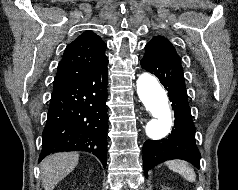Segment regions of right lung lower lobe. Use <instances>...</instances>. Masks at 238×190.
Returning <instances> with one entry per match:
<instances>
[{"mask_svg": "<svg viewBox=\"0 0 238 190\" xmlns=\"http://www.w3.org/2000/svg\"><path fill=\"white\" fill-rule=\"evenodd\" d=\"M107 63L53 90L39 161L53 152L82 150L93 153L106 167Z\"/></svg>", "mask_w": 238, "mask_h": 190, "instance_id": "right-lung-lower-lobe-1", "label": "right lung lower lobe"}]
</instances>
